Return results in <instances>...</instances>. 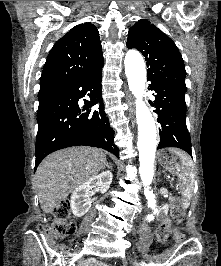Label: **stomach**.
<instances>
[{
	"label": "stomach",
	"instance_id": "stomach-1",
	"mask_svg": "<svg viewBox=\"0 0 221 266\" xmlns=\"http://www.w3.org/2000/svg\"><path fill=\"white\" fill-rule=\"evenodd\" d=\"M158 161L164 169L176 175H180L186 170L182 160L171 149L161 150L158 153Z\"/></svg>",
	"mask_w": 221,
	"mask_h": 266
}]
</instances>
